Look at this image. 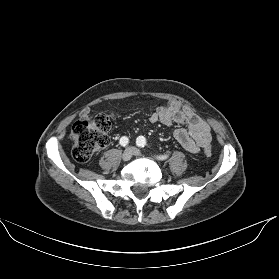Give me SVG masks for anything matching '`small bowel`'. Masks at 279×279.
Here are the masks:
<instances>
[{
	"label": "small bowel",
	"instance_id": "1",
	"mask_svg": "<svg viewBox=\"0 0 279 279\" xmlns=\"http://www.w3.org/2000/svg\"><path fill=\"white\" fill-rule=\"evenodd\" d=\"M83 115L90 114L85 110ZM149 121L166 126L176 124L175 139L191 153H198L202 148L210 146L212 137L209 125L180 101L173 100L165 105H158L156 111L150 115ZM185 122L188 126L187 129L180 126Z\"/></svg>",
	"mask_w": 279,
	"mask_h": 279
}]
</instances>
